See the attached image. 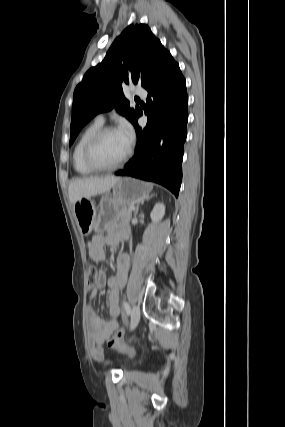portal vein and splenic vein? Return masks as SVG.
<instances>
[{
  "mask_svg": "<svg viewBox=\"0 0 285 427\" xmlns=\"http://www.w3.org/2000/svg\"><path fill=\"white\" fill-rule=\"evenodd\" d=\"M129 208H130V210H135L134 206H130Z\"/></svg>",
  "mask_w": 285,
  "mask_h": 427,
  "instance_id": "18ae733b",
  "label": "portal vein and splenic vein"
}]
</instances>
